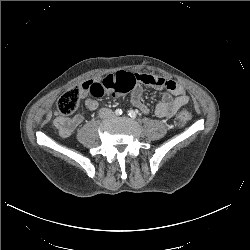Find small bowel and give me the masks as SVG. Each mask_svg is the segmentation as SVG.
<instances>
[{
  "mask_svg": "<svg viewBox=\"0 0 250 250\" xmlns=\"http://www.w3.org/2000/svg\"><path fill=\"white\" fill-rule=\"evenodd\" d=\"M94 82H101L106 92L114 96L130 94L132 104L141 112L148 114L149 107L142 100L143 85L159 90H165L162 100L156 105L154 115L160 119H169L177 110L188 103V96L184 89L171 80L164 79L145 73L117 72L101 77L97 80H88L80 85L81 97L85 98V105L90 111L98 108L99 103L93 97H87L89 87ZM83 115L76 114L73 117H56L54 125L59 135L63 138L69 137L75 129L82 124Z\"/></svg>",
  "mask_w": 250,
  "mask_h": 250,
  "instance_id": "1",
  "label": "small bowel"
}]
</instances>
